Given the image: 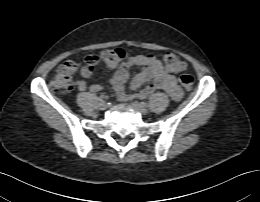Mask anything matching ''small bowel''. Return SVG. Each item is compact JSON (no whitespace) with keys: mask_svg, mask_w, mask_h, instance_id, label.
Here are the masks:
<instances>
[{"mask_svg":"<svg viewBox=\"0 0 260 202\" xmlns=\"http://www.w3.org/2000/svg\"><path fill=\"white\" fill-rule=\"evenodd\" d=\"M133 67H140L141 70L131 79L129 88L134 91L144 84L147 85L135 95H129L125 90V83L129 79L130 71ZM91 74L92 71L87 69L81 72L82 79L76 83L78 90L99 92L104 89L99 84L87 85L84 79L90 77ZM111 83L118 99L121 101H127L132 97L145 99L156 90L167 92L174 100H179L182 97V91L177 85L175 77L169 74L160 60L151 54L129 57L115 69L111 76Z\"/></svg>","mask_w":260,"mask_h":202,"instance_id":"1","label":"small bowel"}]
</instances>
